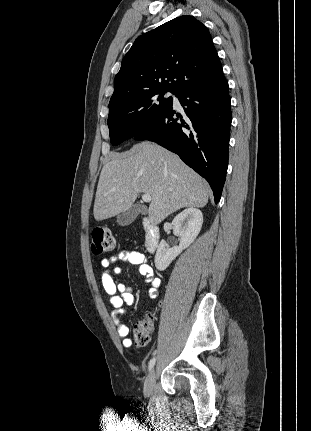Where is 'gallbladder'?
<instances>
[{
    "label": "gallbladder",
    "mask_w": 311,
    "mask_h": 431,
    "mask_svg": "<svg viewBox=\"0 0 311 431\" xmlns=\"http://www.w3.org/2000/svg\"><path fill=\"white\" fill-rule=\"evenodd\" d=\"M140 212H147V208L140 206V204H135V206H132V208H129L126 212L119 214V216L116 217V221L118 225H130L132 221H135Z\"/></svg>",
    "instance_id": "1"
}]
</instances>
